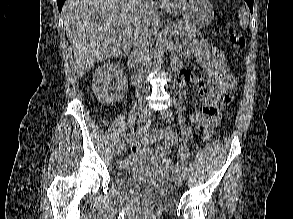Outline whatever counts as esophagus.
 Masks as SVG:
<instances>
[{
  "label": "esophagus",
  "instance_id": "34e87169",
  "mask_svg": "<svg viewBox=\"0 0 293 219\" xmlns=\"http://www.w3.org/2000/svg\"><path fill=\"white\" fill-rule=\"evenodd\" d=\"M157 2L160 4H167L169 0H157Z\"/></svg>",
  "mask_w": 293,
  "mask_h": 219
}]
</instances>
